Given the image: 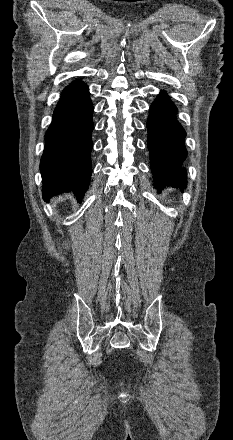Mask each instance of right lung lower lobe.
<instances>
[{
  "label": "right lung lower lobe",
  "mask_w": 233,
  "mask_h": 440,
  "mask_svg": "<svg viewBox=\"0 0 233 440\" xmlns=\"http://www.w3.org/2000/svg\"><path fill=\"white\" fill-rule=\"evenodd\" d=\"M92 113L88 86L73 81L63 90L45 134L40 164L45 200L69 190L83 198L92 172Z\"/></svg>",
  "instance_id": "right-lung-lower-lobe-1"
}]
</instances>
